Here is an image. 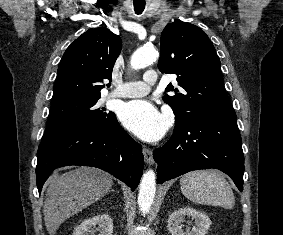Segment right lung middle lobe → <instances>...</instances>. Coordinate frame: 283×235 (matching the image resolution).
<instances>
[{"mask_svg": "<svg viewBox=\"0 0 283 235\" xmlns=\"http://www.w3.org/2000/svg\"><path fill=\"white\" fill-rule=\"evenodd\" d=\"M99 99L100 96L72 97L53 102L42 143L107 122L114 113L100 108L97 105Z\"/></svg>", "mask_w": 283, "mask_h": 235, "instance_id": "right-lung-middle-lobe-1", "label": "right lung middle lobe"}]
</instances>
